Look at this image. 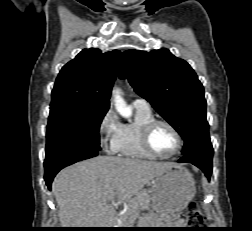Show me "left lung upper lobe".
<instances>
[{"label":"left lung upper lobe","mask_w":252,"mask_h":231,"mask_svg":"<svg viewBox=\"0 0 252 231\" xmlns=\"http://www.w3.org/2000/svg\"><path fill=\"white\" fill-rule=\"evenodd\" d=\"M119 77L182 136L183 155L212 146L201 82L190 65L167 49L122 53Z\"/></svg>","instance_id":"obj_1"}]
</instances>
